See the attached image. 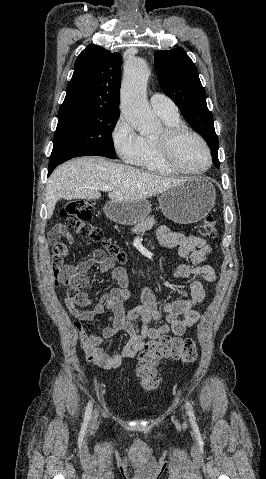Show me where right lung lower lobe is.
<instances>
[{"mask_svg":"<svg viewBox=\"0 0 266 479\" xmlns=\"http://www.w3.org/2000/svg\"><path fill=\"white\" fill-rule=\"evenodd\" d=\"M74 157H77L76 155L70 154V153H65V152H57V153H52L50 156V161H49V171H48V176L53 172V170L61 163L72 159Z\"/></svg>","mask_w":266,"mask_h":479,"instance_id":"obj_1","label":"right lung lower lobe"}]
</instances>
